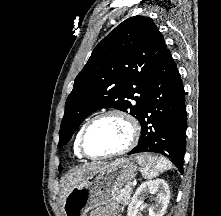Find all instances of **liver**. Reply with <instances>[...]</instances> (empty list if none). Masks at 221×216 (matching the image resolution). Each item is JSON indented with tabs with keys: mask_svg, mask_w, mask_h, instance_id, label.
Wrapping results in <instances>:
<instances>
[{
	"mask_svg": "<svg viewBox=\"0 0 221 216\" xmlns=\"http://www.w3.org/2000/svg\"><path fill=\"white\" fill-rule=\"evenodd\" d=\"M103 164L98 163H87L76 167L70 170L63 178H62V203L64 202L67 194L75 187L78 183H80L85 177H87L92 172L96 171Z\"/></svg>",
	"mask_w": 221,
	"mask_h": 216,
	"instance_id": "liver-1",
	"label": "liver"
}]
</instances>
